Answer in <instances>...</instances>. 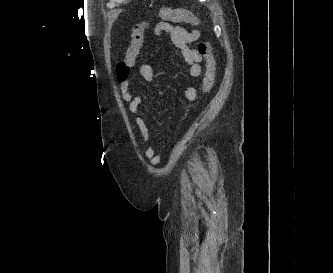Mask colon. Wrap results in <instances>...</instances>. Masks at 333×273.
Here are the masks:
<instances>
[{
	"label": "colon",
	"mask_w": 333,
	"mask_h": 273,
	"mask_svg": "<svg viewBox=\"0 0 333 273\" xmlns=\"http://www.w3.org/2000/svg\"><path fill=\"white\" fill-rule=\"evenodd\" d=\"M165 21H185L194 24H199L200 19L187 9H172L162 7L154 14ZM151 17L146 18L141 22L133 25L131 32V40L128 50L124 58L120 59L116 66L118 79L122 82L128 79L131 68L137 62L141 47L144 41V34L150 24ZM198 55L205 61V69L202 74L201 92L209 93L214 85L216 79V61L212 52V46L209 41H202L197 48Z\"/></svg>",
	"instance_id": "1"
}]
</instances>
